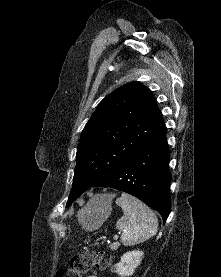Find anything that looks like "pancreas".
<instances>
[{"mask_svg":"<svg viewBox=\"0 0 221 277\" xmlns=\"http://www.w3.org/2000/svg\"><path fill=\"white\" fill-rule=\"evenodd\" d=\"M117 248V244H114L111 246V249H116Z\"/></svg>","mask_w":221,"mask_h":277,"instance_id":"1","label":"pancreas"}]
</instances>
